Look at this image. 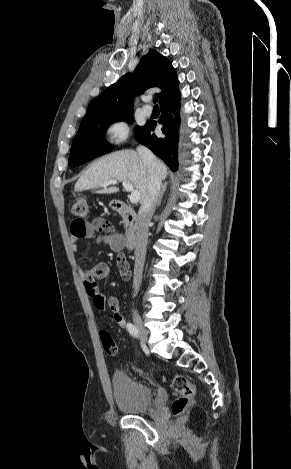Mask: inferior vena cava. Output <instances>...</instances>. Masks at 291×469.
Instances as JSON below:
<instances>
[{"instance_id": "1", "label": "inferior vena cava", "mask_w": 291, "mask_h": 469, "mask_svg": "<svg viewBox=\"0 0 291 469\" xmlns=\"http://www.w3.org/2000/svg\"><path fill=\"white\" fill-rule=\"evenodd\" d=\"M137 153L147 166L150 174L148 191L141 203L137 223V243L135 247V265L133 288L137 294L141 281L142 272L146 256V247L148 241L149 222L155 212V207L160 195L161 177L158 172V166L153 153L144 146L137 148Z\"/></svg>"}]
</instances>
